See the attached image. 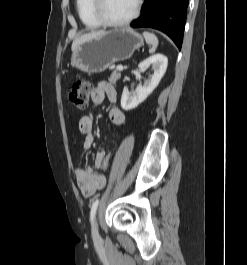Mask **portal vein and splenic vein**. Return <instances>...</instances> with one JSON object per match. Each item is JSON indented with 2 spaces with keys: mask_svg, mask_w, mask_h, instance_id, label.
I'll return each instance as SVG.
<instances>
[{
  "mask_svg": "<svg viewBox=\"0 0 247 265\" xmlns=\"http://www.w3.org/2000/svg\"><path fill=\"white\" fill-rule=\"evenodd\" d=\"M117 70H120V71L123 70V66L122 65H118L117 66Z\"/></svg>",
  "mask_w": 247,
  "mask_h": 265,
  "instance_id": "portal-vein-and-splenic-vein-1",
  "label": "portal vein and splenic vein"
}]
</instances>
